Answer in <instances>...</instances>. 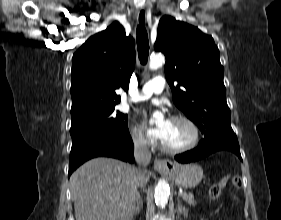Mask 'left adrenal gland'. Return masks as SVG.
Returning a JSON list of instances; mask_svg holds the SVG:
<instances>
[{"mask_svg": "<svg viewBox=\"0 0 281 220\" xmlns=\"http://www.w3.org/2000/svg\"><path fill=\"white\" fill-rule=\"evenodd\" d=\"M177 213L178 215L183 214L184 217L188 216V210L182 206L181 202L178 199V205H177Z\"/></svg>", "mask_w": 281, "mask_h": 220, "instance_id": "a2214340", "label": "left adrenal gland"}]
</instances>
